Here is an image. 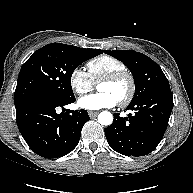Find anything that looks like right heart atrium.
<instances>
[{
  "label": "right heart atrium",
  "instance_id": "d8ad5b80",
  "mask_svg": "<svg viewBox=\"0 0 193 193\" xmlns=\"http://www.w3.org/2000/svg\"><path fill=\"white\" fill-rule=\"evenodd\" d=\"M69 85L74 93L82 95L93 89L94 82L87 71L76 67L69 74Z\"/></svg>",
  "mask_w": 193,
  "mask_h": 193
}]
</instances>
